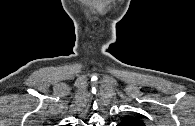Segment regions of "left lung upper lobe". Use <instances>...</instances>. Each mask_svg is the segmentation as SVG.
<instances>
[{
	"instance_id": "left-lung-upper-lobe-1",
	"label": "left lung upper lobe",
	"mask_w": 195,
	"mask_h": 126,
	"mask_svg": "<svg viewBox=\"0 0 195 126\" xmlns=\"http://www.w3.org/2000/svg\"><path fill=\"white\" fill-rule=\"evenodd\" d=\"M122 123L127 126H145L143 121H141L138 117L133 116H126L123 118Z\"/></svg>"
}]
</instances>
